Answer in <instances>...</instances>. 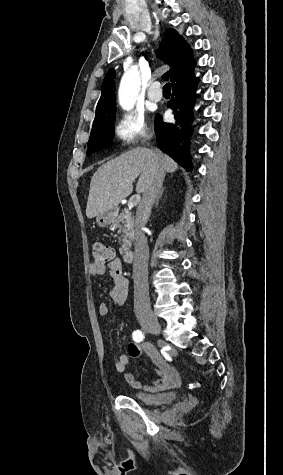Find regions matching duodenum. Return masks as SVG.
Here are the masks:
<instances>
[{"instance_id":"duodenum-1","label":"duodenum","mask_w":283,"mask_h":475,"mask_svg":"<svg viewBox=\"0 0 283 475\" xmlns=\"http://www.w3.org/2000/svg\"><path fill=\"white\" fill-rule=\"evenodd\" d=\"M134 253L132 250H124L122 253V259L126 263H131L133 261Z\"/></svg>"}]
</instances>
